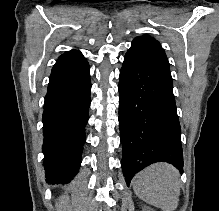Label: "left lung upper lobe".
I'll use <instances>...</instances> for the list:
<instances>
[{"label": "left lung upper lobe", "instance_id": "obj_1", "mask_svg": "<svg viewBox=\"0 0 219 211\" xmlns=\"http://www.w3.org/2000/svg\"><path fill=\"white\" fill-rule=\"evenodd\" d=\"M129 50L154 61L166 68H169V61L160 43L150 36L136 37Z\"/></svg>", "mask_w": 219, "mask_h": 211}]
</instances>
